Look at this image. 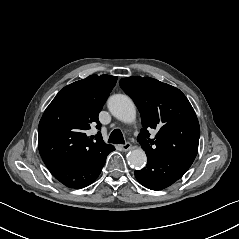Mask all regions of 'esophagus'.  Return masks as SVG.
Wrapping results in <instances>:
<instances>
[{"label":"esophagus","instance_id":"esophagus-1","mask_svg":"<svg viewBox=\"0 0 239 239\" xmlns=\"http://www.w3.org/2000/svg\"><path fill=\"white\" fill-rule=\"evenodd\" d=\"M131 144L129 142H127L126 144H122L121 148L123 151H128L131 149Z\"/></svg>","mask_w":239,"mask_h":239}]
</instances>
